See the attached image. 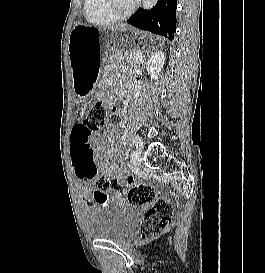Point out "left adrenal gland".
<instances>
[{
  "label": "left adrenal gland",
  "mask_w": 265,
  "mask_h": 273,
  "mask_svg": "<svg viewBox=\"0 0 265 273\" xmlns=\"http://www.w3.org/2000/svg\"><path fill=\"white\" fill-rule=\"evenodd\" d=\"M140 62L143 64L144 63V59H141Z\"/></svg>",
  "instance_id": "obj_1"
}]
</instances>
